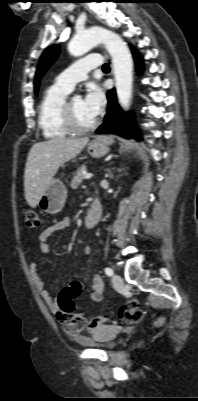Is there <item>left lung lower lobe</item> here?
Wrapping results in <instances>:
<instances>
[{
	"label": "left lung lower lobe",
	"instance_id": "0a47b994",
	"mask_svg": "<svg viewBox=\"0 0 198 401\" xmlns=\"http://www.w3.org/2000/svg\"><path fill=\"white\" fill-rule=\"evenodd\" d=\"M133 54L136 60L138 71H142L143 64L142 59L138 52L132 48ZM108 113L105 116L104 123L96 130V133L100 134L106 131H110L113 134H117L124 138H135L140 140V136L137 131L130 132L133 130V121L129 114L123 113L115 101V92H108Z\"/></svg>",
	"mask_w": 198,
	"mask_h": 401
}]
</instances>
